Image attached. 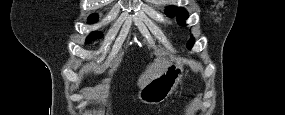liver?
<instances>
[{
    "mask_svg": "<svg viewBox=\"0 0 285 115\" xmlns=\"http://www.w3.org/2000/svg\"><path fill=\"white\" fill-rule=\"evenodd\" d=\"M169 65L170 62L168 60H165L163 58H156L153 63L147 66L145 72L141 74L137 85L142 88L152 79L160 76Z\"/></svg>",
    "mask_w": 285,
    "mask_h": 115,
    "instance_id": "obj_1",
    "label": "liver"
}]
</instances>
